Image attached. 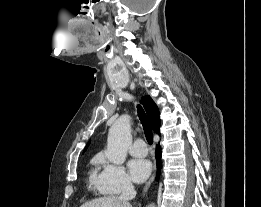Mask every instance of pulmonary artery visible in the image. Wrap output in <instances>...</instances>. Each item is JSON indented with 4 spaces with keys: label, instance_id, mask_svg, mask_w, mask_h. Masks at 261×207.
Listing matches in <instances>:
<instances>
[{
    "label": "pulmonary artery",
    "instance_id": "obj_1",
    "mask_svg": "<svg viewBox=\"0 0 261 207\" xmlns=\"http://www.w3.org/2000/svg\"><path fill=\"white\" fill-rule=\"evenodd\" d=\"M130 154L135 157H144L147 155V147L143 139H136L130 147Z\"/></svg>",
    "mask_w": 261,
    "mask_h": 207
}]
</instances>
